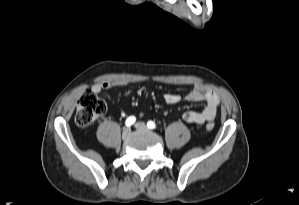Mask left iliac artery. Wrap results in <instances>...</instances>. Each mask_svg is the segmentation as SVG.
<instances>
[{"label": "left iliac artery", "mask_w": 299, "mask_h": 205, "mask_svg": "<svg viewBox=\"0 0 299 205\" xmlns=\"http://www.w3.org/2000/svg\"><path fill=\"white\" fill-rule=\"evenodd\" d=\"M147 126H148V128H150V129H155V128H156V125H155V123H154L153 121H149V122L147 123Z\"/></svg>", "instance_id": "obj_1"}]
</instances>
